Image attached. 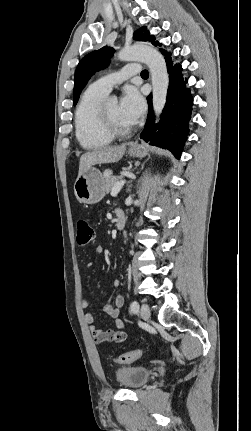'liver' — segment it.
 <instances>
[{
	"label": "liver",
	"mask_w": 251,
	"mask_h": 431,
	"mask_svg": "<svg viewBox=\"0 0 251 431\" xmlns=\"http://www.w3.org/2000/svg\"><path fill=\"white\" fill-rule=\"evenodd\" d=\"M127 144L114 147H102L84 153L79 161V175L96 164L115 163L125 154Z\"/></svg>",
	"instance_id": "6515ba94"
}]
</instances>
